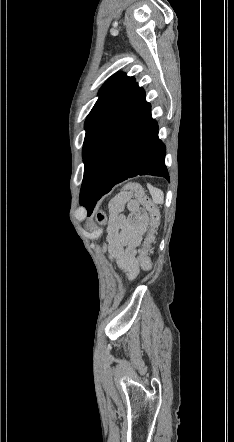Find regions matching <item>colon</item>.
<instances>
[{"instance_id":"obj_1","label":"colon","mask_w":234,"mask_h":442,"mask_svg":"<svg viewBox=\"0 0 234 442\" xmlns=\"http://www.w3.org/2000/svg\"><path fill=\"white\" fill-rule=\"evenodd\" d=\"M135 195L140 201L146 213V227L144 232V249L143 253L138 256L140 260L139 266L144 269L145 273L151 272V256L145 253L149 248L152 240L155 228L160 221V214L157 205L144 193L142 186L136 182H128L124 184L121 191L115 198H125L126 196ZM97 218L99 222L105 220V216L102 213H98Z\"/></svg>"}]
</instances>
